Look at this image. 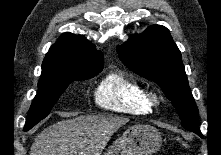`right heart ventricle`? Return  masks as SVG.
I'll return each mask as SVG.
<instances>
[{"label": "right heart ventricle", "instance_id": "e07e8e85", "mask_svg": "<svg viewBox=\"0 0 221 155\" xmlns=\"http://www.w3.org/2000/svg\"><path fill=\"white\" fill-rule=\"evenodd\" d=\"M96 104L106 110L130 114H148L152 106L144 86L123 72L107 75L97 86Z\"/></svg>", "mask_w": 221, "mask_h": 155}]
</instances>
